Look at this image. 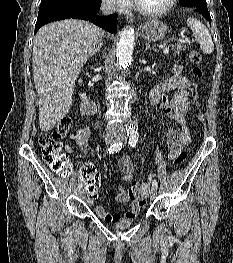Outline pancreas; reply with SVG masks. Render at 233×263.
Segmentation results:
<instances>
[{"instance_id":"cf45deb5","label":"pancreas","mask_w":233,"mask_h":263,"mask_svg":"<svg viewBox=\"0 0 233 263\" xmlns=\"http://www.w3.org/2000/svg\"><path fill=\"white\" fill-rule=\"evenodd\" d=\"M186 47H184L183 45H181L180 43H176L174 46H173V51L175 54H179L180 51L182 50H185Z\"/></svg>"}]
</instances>
